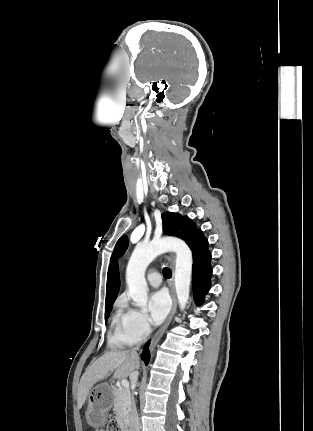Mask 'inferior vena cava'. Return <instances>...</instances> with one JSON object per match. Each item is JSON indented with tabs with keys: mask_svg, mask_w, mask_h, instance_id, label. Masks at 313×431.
I'll list each match as a JSON object with an SVG mask.
<instances>
[{
	"mask_svg": "<svg viewBox=\"0 0 313 431\" xmlns=\"http://www.w3.org/2000/svg\"><path fill=\"white\" fill-rule=\"evenodd\" d=\"M139 347L137 346L136 348L132 349V353L137 355V349ZM138 380V372L137 371H133L130 374V381L132 384V387L136 386ZM129 431H140V421H139V417L137 414V409H136V405L134 400L131 401L130 403V424H129Z\"/></svg>",
	"mask_w": 313,
	"mask_h": 431,
	"instance_id": "1",
	"label": "inferior vena cava"
}]
</instances>
